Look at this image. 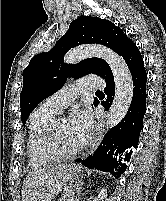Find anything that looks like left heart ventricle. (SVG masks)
Masks as SVG:
<instances>
[{"mask_svg":"<svg viewBox=\"0 0 166 201\" xmlns=\"http://www.w3.org/2000/svg\"><path fill=\"white\" fill-rule=\"evenodd\" d=\"M56 141L62 150H73L79 146L76 136L66 120L60 121L56 127Z\"/></svg>","mask_w":166,"mask_h":201,"instance_id":"obj_1","label":"left heart ventricle"}]
</instances>
